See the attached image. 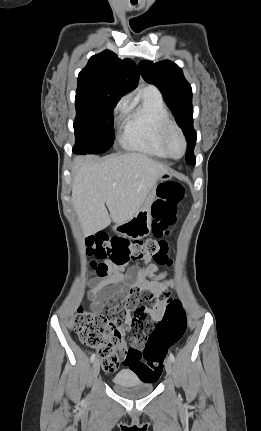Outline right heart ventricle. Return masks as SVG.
Listing matches in <instances>:
<instances>
[{
	"label": "right heart ventricle",
	"instance_id": "e07e8e85",
	"mask_svg": "<svg viewBox=\"0 0 261 431\" xmlns=\"http://www.w3.org/2000/svg\"><path fill=\"white\" fill-rule=\"evenodd\" d=\"M168 118L160 94L148 88L143 89L139 98L127 107L123 115L122 146L150 156L167 158L160 132Z\"/></svg>",
	"mask_w": 261,
	"mask_h": 431
}]
</instances>
